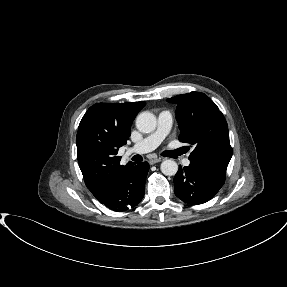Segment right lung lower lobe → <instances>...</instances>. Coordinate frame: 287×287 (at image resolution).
Here are the masks:
<instances>
[{
  "label": "right lung lower lobe",
  "instance_id": "98d812e1",
  "mask_svg": "<svg viewBox=\"0 0 287 287\" xmlns=\"http://www.w3.org/2000/svg\"><path fill=\"white\" fill-rule=\"evenodd\" d=\"M148 170L147 162L128 163L110 180L98 201L117 212L135 207L143 199Z\"/></svg>",
  "mask_w": 287,
  "mask_h": 287
}]
</instances>
